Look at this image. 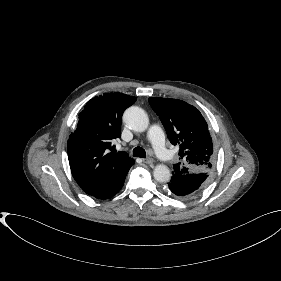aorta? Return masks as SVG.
Returning <instances> with one entry per match:
<instances>
[{"instance_id": "obj_1", "label": "aorta", "mask_w": 281, "mask_h": 281, "mask_svg": "<svg viewBox=\"0 0 281 281\" xmlns=\"http://www.w3.org/2000/svg\"><path fill=\"white\" fill-rule=\"evenodd\" d=\"M123 120L132 130L143 132L148 128L149 119L145 111L137 106L127 108L123 114ZM154 178L158 182H168L171 178L170 170L165 165H157L153 171Z\"/></svg>"}]
</instances>
